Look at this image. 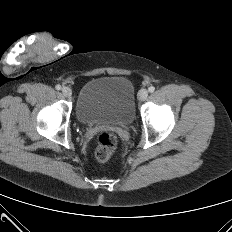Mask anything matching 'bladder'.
I'll use <instances>...</instances> for the list:
<instances>
[{
	"label": "bladder",
	"instance_id": "1",
	"mask_svg": "<svg viewBox=\"0 0 232 232\" xmlns=\"http://www.w3.org/2000/svg\"><path fill=\"white\" fill-rule=\"evenodd\" d=\"M75 112L82 124L129 125L136 113L133 84L123 76L93 78L81 87Z\"/></svg>",
	"mask_w": 232,
	"mask_h": 232
}]
</instances>
